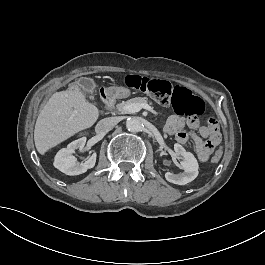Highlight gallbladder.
<instances>
[{
	"label": "gallbladder",
	"instance_id": "1",
	"mask_svg": "<svg viewBox=\"0 0 265 265\" xmlns=\"http://www.w3.org/2000/svg\"><path fill=\"white\" fill-rule=\"evenodd\" d=\"M78 84H79V86H81V87H85V89H86L87 92H89V93H92V92H94V90H95V85H94V83L91 82V81L88 80V79L81 78V79H79Z\"/></svg>",
	"mask_w": 265,
	"mask_h": 265
}]
</instances>
